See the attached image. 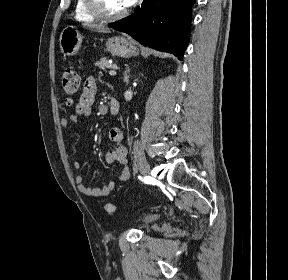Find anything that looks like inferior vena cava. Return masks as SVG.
I'll use <instances>...</instances> for the list:
<instances>
[{
    "label": "inferior vena cava",
    "instance_id": "obj_1",
    "mask_svg": "<svg viewBox=\"0 0 288 280\" xmlns=\"http://www.w3.org/2000/svg\"><path fill=\"white\" fill-rule=\"evenodd\" d=\"M124 94H126L127 97H135L136 93L132 92L131 89H124ZM131 147H134L136 157L139 159H146L147 155L143 154L142 150V142H131Z\"/></svg>",
    "mask_w": 288,
    "mask_h": 280
}]
</instances>
